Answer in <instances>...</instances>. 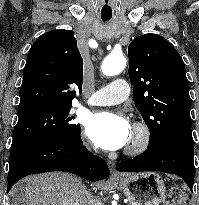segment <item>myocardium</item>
<instances>
[{
  "instance_id": "myocardium-1",
  "label": "myocardium",
  "mask_w": 199,
  "mask_h": 205,
  "mask_svg": "<svg viewBox=\"0 0 199 205\" xmlns=\"http://www.w3.org/2000/svg\"><path fill=\"white\" fill-rule=\"evenodd\" d=\"M151 142V130L142 121L136 122L133 127V139L126 148L129 155H138L147 150Z\"/></svg>"
}]
</instances>
